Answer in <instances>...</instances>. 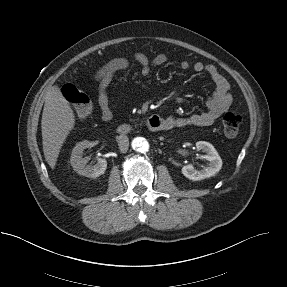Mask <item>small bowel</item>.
Instances as JSON below:
<instances>
[{
    "label": "small bowel",
    "instance_id": "obj_1",
    "mask_svg": "<svg viewBox=\"0 0 287 287\" xmlns=\"http://www.w3.org/2000/svg\"><path fill=\"white\" fill-rule=\"evenodd\" d=\"M133 60L140 66L141 74L146 76L153 67H159L167 63L165 54H157L150 58L142 52H136L132 56ZM130 66V60L125 57H117L102 65L95 73V81L98 84V103L101 110V117L104 121H110L113 113L109 106V96L107 89L115 75ZM182 70L192 69L196 73H205L215 85V90L206 103L207 109L203 112L195 113L187 117L168 116L161 118L162 130H171L185 127H206L211 126L221 114L226 112L232 105L233 97L230 93V84L219 70L211 64L189 61H181Z\"/></svg>",
    "mask_w": 287,
    "mask_h": 287
}]
</instances>
